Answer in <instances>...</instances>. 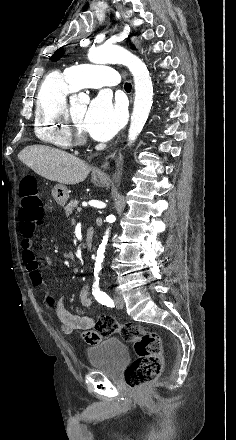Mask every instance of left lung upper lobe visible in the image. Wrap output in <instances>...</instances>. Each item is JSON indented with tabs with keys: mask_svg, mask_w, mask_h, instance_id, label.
<instances>
[{
	"mask_svg": "<svg viewBox=\"0 0 236 440\" xmlns=\"http://www.w3.org/2000/svg\"><path fill=\"white\" fill-rule=\"evenodd\" d=\"M63 54H64V50L63 48H60L55 52V54L52 57H50V60L56 61L57 59L61 58Z\"/></svg>",
	"mask_w": 236,
	"mask_h": 440,
	"instance_id": "left-lung-upper-lobe-1",
	"label": "left lung upper lobe"
}]
</instances>
